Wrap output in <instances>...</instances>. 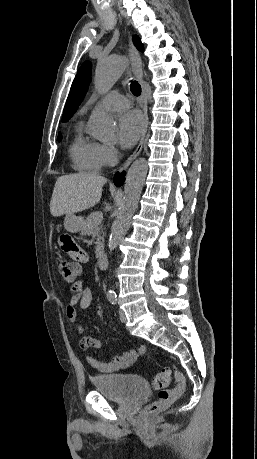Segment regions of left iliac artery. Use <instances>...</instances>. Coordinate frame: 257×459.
Listing matches in <instances>:
<instances>
[{"mask_svg":"<svg viewBox=\"0 0 257 459\" xmlns=\"http://www.w3.org/2000/svg\"><path fill=\"white\" fill-rule=\"evenodd\" d=\"M108 299L112 304H115L116 301H117V296H116V294H109L108 295Z\"/></svg>","mask_w":257,"mask_h":459,"instance_id":"left-iliac-artery-1","label":"left iliac artery"}]
</instances>
